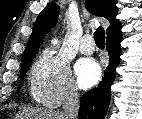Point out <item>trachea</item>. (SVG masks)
I'll use <instances>...</instances> for the list:
<instances>
[{"instance_id":"1","label":"trachea","mask_w":142,"mask_h":119,"mask_svg":"<svg viewBox=\"0 0 142 119\" xmlns=\"http://www.w3.org/2000/svg\"><path fill=\"white\" fill-rule=\"evenodd\" d=\"M94 40L98 47L104 48L105 46V31L103 27L99 26L94 33Z\"/></svg>"}]
</instances>
